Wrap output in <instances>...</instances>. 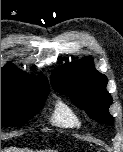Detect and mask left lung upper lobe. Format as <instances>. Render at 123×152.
Returning a JSON list of instances; mask_svg holds the SVG:
<instances>
[{"instance_id": "5c2ea615", "label": "left lung upper lobe", "mask_w": 123, "mask_h": 152, "mask_svg": "<svg viewBox=\"0 0 123 152\" xmlns=\"http://www.w3.org/2000/svg\"><path fill=\"white\" fill-rule=\"evenodd\" d=\"M51 83L92 119L113 125V117L108 112L112 97L106 90L107 78L93 67L90 57H84L74 66L62 65L53 72Z\"/></svg>"}]
</instances>
